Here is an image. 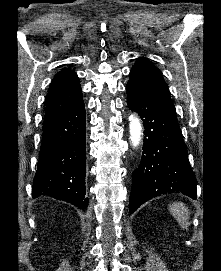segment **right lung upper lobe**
Listing matches in <instances>:
<instances>
[{
    "label": "right lung upper lobe",
    "mask_w": 221,
    "mask_h": 271,
    "mask_svg": "<svg viewBox=\"0 0 221 271\" xmlns=\"http://www.w3.org/2000/svg\"><path fill=\"white\" fill-rule=\"evenodd\" d=\"M45 101V116L72 109L82 102V91L77 74L69 68L58 72L51 82Z\"/></svg>",
    "instance_id": "right-lung-upper-lobe-1"
}]
</instances>
